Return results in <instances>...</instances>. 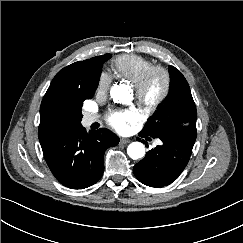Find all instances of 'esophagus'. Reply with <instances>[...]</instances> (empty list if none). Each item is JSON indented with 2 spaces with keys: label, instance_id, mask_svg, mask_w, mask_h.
<instances>
[{
  "label": "esophagus",
  "instance_id": "obj_1",
  "mask_svg": "<svg viewBox=\"0 0 243 243\" xmlns=\"http://www.w3.org/2000/svg\"><path fill=\"white\" fill-rule=\"evenodd\" d=\"M130 142V139H127V138H121L120 141H119V144H127Z\"/></svg>",
  "mask_w": 243,
  "mask_h": 243
}]
</instances>
